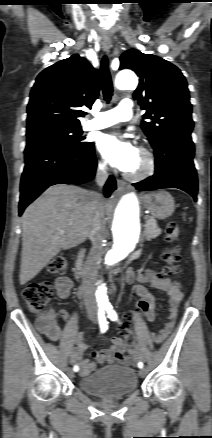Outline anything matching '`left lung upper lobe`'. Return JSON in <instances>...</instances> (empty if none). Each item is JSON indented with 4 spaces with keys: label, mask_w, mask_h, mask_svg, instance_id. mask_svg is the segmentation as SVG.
Returning a JSON list of instances; mask_svg holds the SVG:
<instances>
[{
    "label": "left lung upper lobe",
    "mask_w": 212,
    "mask_h": 438,
    "mask_svg": "<svg viewBox=\"0 0 212 438\" xmlns=\"http://www.w3.org/2000/svg\"><path fill=\"white\" fill-rule=\"evenodd\" d=\"M120 69L128 68L140 77L134 99L146 110L141 127L153 148L167 138L190 136L194 122L187 82L172 63L151 54L130 49L120 57Z\"/></svg>",
    "instance_id": "5c2ea615"
}]
</instances>
